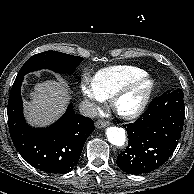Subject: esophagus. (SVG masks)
I'll list each match as a JSON object with an SVG mask.
<instances>
[{
    "label": "esophagus",
    "instance_id": "34e87169",
    "mask_svg": "<svg viewBox=\"0 0 194 194\" xmlns=\"http://www.w3.org/2000/svg\"><path fill=\"white\" fill-rule=\"evenodd\" d=\"M110 123L108 122V121H106V120H98L97 122H96V127L98 128V129H100V128H105V127H107L108 125H109Z\"/></svg>",
    "mask_w": 194,
    "mask_h": 194
}]
</instances>
